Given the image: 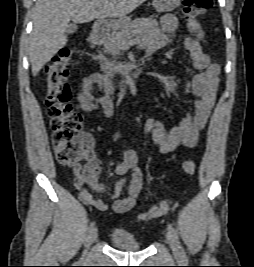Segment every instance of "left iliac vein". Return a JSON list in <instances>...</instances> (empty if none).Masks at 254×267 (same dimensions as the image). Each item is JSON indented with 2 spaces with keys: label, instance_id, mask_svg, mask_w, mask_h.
I'll return each instance as SVG.
<instances>
[{
  "label": "left iliac vein",
  "instance_id": "left-iliac-vein-1",
  "mask_svg": "<svg viewBox=\"0 0 254 267\" xmlns=\"http://www.w3.org/2000/svg\"><path fill=\"white\" fill-rule=\"evenodd\" d=\"M166 239L170 245V248H171L174 256L177 258L180 257V251H179V248L177 245L176 238L169 230L166 232Z\"/></svg>",
  "mask_w": 254,
  "mask_h": 267
}]
</instances>
